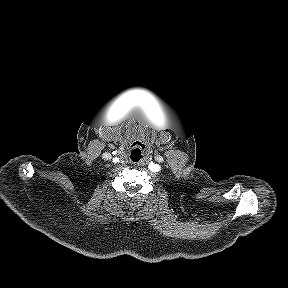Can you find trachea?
<instances>
[{
  "label": "trachea",
  "mask_w": 288,
  "mask_h": 288,
  "mask_svg": "<svg viewBox=\"0 0 288 288\" xmlns=\"http://www.w3.org/2000/svg\"><path fill=\"white\" fill-rule=\"evenodd\" d=\"M145 152H146V148L143 144H141V143L136 144L135 143L130 147L129 159L133 163H137L143 159Z\"/></svg>",
  "instance_id": "1"
}]
</instances>
